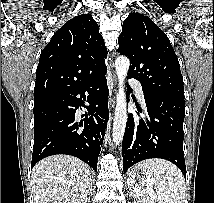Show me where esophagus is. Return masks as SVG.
<instances>
[{"label":"esophagus","instance_id":"34e87169","mask_svg":"<svg viewBox=\"0 0 214 203\" xmlns=\"http://www.w3.org/2000/svg\"><path fill=\"white\" fill-rule=\"evenodd\" d=\"M117 84V81L115 80V86ZM115 92V90H114ZM114 104H115V95L112 96V98L110 99V102H109V107L112 109L114 108Z\"/></svg>","mask_w":214,"mask_h":203}]
</instances>
